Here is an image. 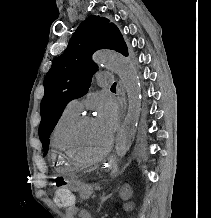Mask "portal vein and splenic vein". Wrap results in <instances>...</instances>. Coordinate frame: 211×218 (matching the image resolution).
I'll return each mask as SVG.
<instances>
[{
    "label": "portal vein and splenic vein",
    "mask_w": 211,
    "mask_h": 218,
    "mask_svg": "<svg viewBox=\"0 0 211 218\" xmlns=\"http://www.w3.org/2000/svg\"><path fill=\"white\" fill-rule=\"evenodd\" d=\"M98 188H99V189H100V188L102 189L103 187H102V186H101V187L99 186Z\"/></svg>",
    "instance_id": "obj_1"
}]
</instances>
